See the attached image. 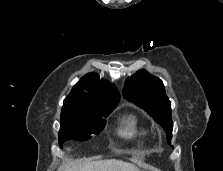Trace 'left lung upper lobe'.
Instances as JSON below:
<instances>
[{
  "mask_svg": "<svg viewBox=\"0 0 223 171\" xmlns=\"http://www.w3.org/2000/svg\"><path fill=\"white\" fill-rule=\"evenodd\" d=\"M123 95L154 118L167 133L170 143L173 129L171 104L165 94L163 82L142 69L126 80Z\"/></svg>",
  "mask_w": 223,
  "mask_h": 171,
  "instance_id": "obj_1",
  "label": "left lung upper lobe"
}]
</instances>
